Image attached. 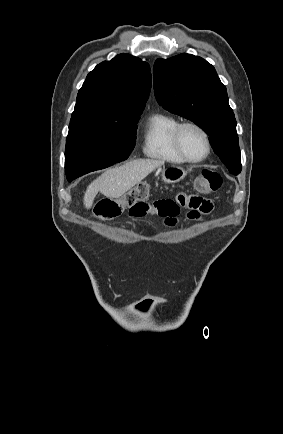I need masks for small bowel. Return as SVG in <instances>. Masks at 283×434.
<instances>
[{"instance_id":"obj_1","label":"small bowel","mask_w":283,"mask_h":434,"mask_svg":"<svg viewBox=\"0 0 283 434\" xmlns=\"http://www.w3.org/2000/svg\"><path fill=\"white\" fill-rule=\"evenodd\" d=\"M181 208L189 210V218L197 219L200 215L211 212L213 204L211 200L200 195L181 192L175 198H161L153 202H139L129 209V215L132 218L158 215L165 219V223L168 226H174L177 223V217Z\"/></svg>"}]
</instances>
